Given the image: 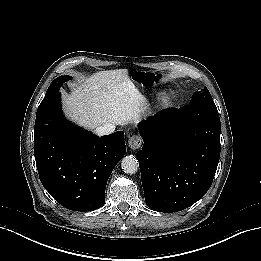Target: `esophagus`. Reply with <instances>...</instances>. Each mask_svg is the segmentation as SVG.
I'll return each mask as SVG.
<instances>
[{
  "label": "esophagus",
  "mask_w": 261,
  "mask_h": 261,
  "mask_svg": "<svg viewBox=\"0 0 261 261\" xmlns=\"http://www.w3.org/2000/svg\"><path fill=\"white\" fill-rule=\"evenodd\" d=\"M142 139L140 136L138 135H133L129 138L128 140V146L130 147V149L132 150H137L141 147L142 145Z\"/></svg>",
  "instance_id": "esophagus-1"
}]
</instances>
